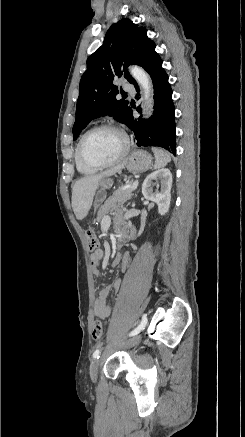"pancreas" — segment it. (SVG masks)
<instances>
[{
  "mask_svg": "<svg viewBox=\"0 0 245 437\" xmlns=\"http://www.w3.org/2000/svg\"><path fill=\"white\" fill-rule=\"evenodd\" d=\"M131 185L132 181H130L128 185L121 186L105 201L104 205L98 211V221H101L109 212L123 207L133 195Z\"/></svg>",
  "mask_w": 245,
  "mask_h": 437,
  "instance_id": "pancreas-1",
  "label": "pancreas"
}]
</instances>
